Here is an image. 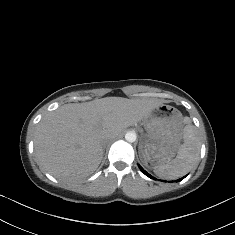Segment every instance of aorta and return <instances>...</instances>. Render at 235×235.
I'll return each mask as SVG.
<instances>
[{
	"mask_svg": "<svg viewBox=\"0 0 235 235\" xmlns=\"http://www.w3.org/2000/svg\"><path fill=\"white\" fill-rule=\"evenodd\" d=\"M136 138H137V136H136V133L134 131H130V132H127L125 134V139L128 142H135Z\"/></svg>",
	"mask_w": 235,
	"mask_h": 235,
	"instance_id": "762f6f07",
	"label": "aorta"
}]
</instances>
